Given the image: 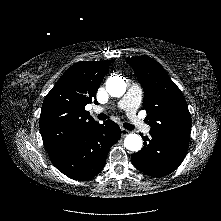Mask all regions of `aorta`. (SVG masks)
Returning <instances> with one entry per match:
<instances>
[{"label":"aorta","mask_w":221,"mask_h":221,"mask_svg":"<svg viewBox=\"0 0 221 221\" xmlns=\"http://www.w3.org/2000/svg\"><path fill=\"white\" fill-rule=\"evenodd\" d=\"M106 90L113 97H121L126 91V83L119 76H113L106 81ZM124 145L132 152H138L142 148V138L138 134H128L125 137Z\"/></svg>","instance_id":"762f6f07"}]
</instances>
